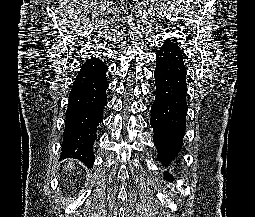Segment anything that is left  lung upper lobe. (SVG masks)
<instances>
[{"instance_id": "5c2ea615", "label": "left lung upper lobe", "mask_w": 255, "mask_h": 217, "mask_svg": "<svg viewBox=\"0 0 255 217\" xmlns=\"http://www.w3.org/2000/svg\"><path fill=\"white\" fill-rule=\"evenodd\" d=\"M163 45H168V46H171L173 48H176V49L180 50V47H178V44L176 43L175 40L168 39V40L165 41V43Z\"/></svg>"}]
</instances>
